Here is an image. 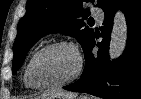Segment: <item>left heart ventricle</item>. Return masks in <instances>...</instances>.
Wrapping results in <instances>:
<instances>
[{"label": "left heart ventricle", "instance_id": "left-heart-ventricle-1", "mask_svg": "<svg viewBox=\"0 0 141 99\" xmlns=\"http://www.w3.org/2000/svg\"><path fill=\"white\" fill-rule=\"evenodd\" d=\"M76 68L74 52L67 47H57L45 51L35 60L31 76L38 84L57 83L69 78Z\"/></svg>", "mask_w": 141, "mask_h": 99}]
</instances>
